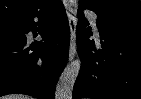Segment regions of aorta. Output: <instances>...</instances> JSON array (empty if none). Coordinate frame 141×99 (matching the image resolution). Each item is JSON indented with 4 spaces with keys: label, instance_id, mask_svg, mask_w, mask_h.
Returning a JSON list of instances; mask_svg holds the SVG:
<instances>
[{
    "label": "aorta",
    "instance_id": "obj_1",
    "mask_svg": "<svg viewBox=\"0 0 141 99\" xmlns=\"http://www.w3.org/2000/svg\"><path fill=\"white\" fill-rule=\"evenodd\" d=\"M81 67V60L76 59L61 73L55 92V99H72L73 87Z\"/></svg>",
    "mask_w": 141,
    "mask_h": 99
}]
</instances>
